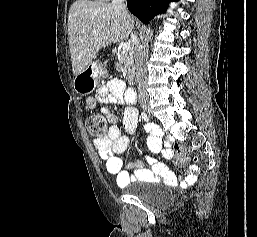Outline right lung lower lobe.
I'll use <instances>...</instances> for the list:
<instances>
[{
	"label": "right lung lower lobe",
	"instance_id": "obj_1",
	"mask_svg": "<svg viewBox=\"0 0 257 237\" xmlns=\"http://www.w3.org/2000/svg\"><path fill=\"white\" fill-rule=\"evenodd\" d=\"M170 1L177 0H127L129 11L147 24L155 15L164 12Z\"/></svg>",
	"mask_w": 257,
	"mask_h": 237
}]
</instances>
